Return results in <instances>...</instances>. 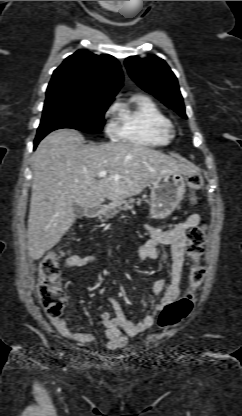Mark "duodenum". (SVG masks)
Segmentation results:
<instances>
[{
    "instance_id": "410a0bca",
    "label": "duodenum",
    "mask_w": 242,
    "mask_h": 416,
    "mask_svg": "<svg viewBox=\"0 0 242 416\" xmlns=\"http://www.w3.org/2000/svg\"><path fill=\"white\" fill-rule=\"evenodd\" d=\"M100 210H101L100 205L91 206L87 209L86 216L88 218H93L99 213Z\"/></svg>"
}]
</instances>
